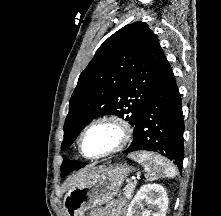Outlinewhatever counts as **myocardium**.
Segmentation results:
<instances>
[{"instance_id": "f54148a6", "label": "myocardium", "mask_w": 221, "mask_h": 216, "mask_svg": "<svg viewBox=\"0 0 221 216\" xmlns=\"http://www.w3.org/2000/svg\"><path fill=\"white\" fill-rule=\"evenodd\" d=\"M100 124H109V125L114 126L117 129L118 134H119L117 142L115 143L113 147H111L110 149L102 153H99L93 156H88L84 154L83 152V148H82L83 139L89 130H91L93 127L100 125ZM132 135H133V128L127 120L117 115H112V114L104 115V116H101L92 120L82 130L78 139V150H79V153L87 159L103 158V157L115 154L121 151L122 149H124L129 144L132 138Z\"/></svg>"}]
</instances>
